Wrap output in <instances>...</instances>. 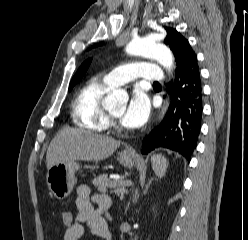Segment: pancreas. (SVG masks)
Listing matches in <instances>:
<instances>
[{
  "label": "pancreas",
  "mask_w": 248,
  "mask_h": 240,
  "mask_svg": "<svg viewBox=\"0 0 248 240\" xmlns=\"http://www.w3.org/2000/svg\"><path fill=\"white\" fill-rule=\"evenodd\" d=\"M92 183L100 192H106L107 189H110L111 192H114L120 197H123L124 194L128 192L125 188L127 185H125L123 181H111L107 177V174L94 178Z\"/></svg>",
  "instance_id": "1"
}]
</instances>
